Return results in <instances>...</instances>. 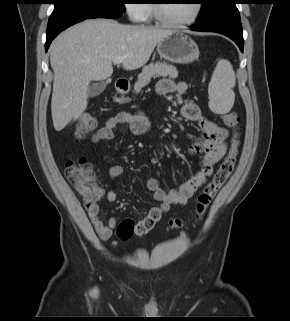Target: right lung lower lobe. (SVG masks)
I'll return each mask as SVG.
<instances>
[{
  "mask_svg": "<svg viewBox=\"0 0 290 321\" xmlns=\"http://www.w3.org/2000/svg\"><path fill=\"white\" fill-rule=\"evenodd\" d=\"M120 14H106V15H98V16H80V15H66L59 16L54 18H49L48 26H47V34H46V44L45 50L47 52L52 40L63 30L68 28L69 26L81 22L85 19L92 18H118Z\"/></svg>",
  "mask_w": 290,
  "mask_h": 321,
  "instance_id": "right-lung-lower-lobe-1",
  "label": "right lung lower lobe"
}]
</instances>
